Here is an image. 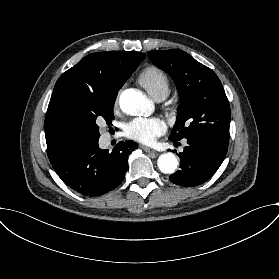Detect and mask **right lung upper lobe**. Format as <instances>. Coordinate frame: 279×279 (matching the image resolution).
I'll return each mask as SVG.
<instances>
[{
    "mask_svg": "<svg viewBox=\"0 0 279 279\" xmlns=\"http://www.w3.org/2000/svg\"><path fill=\"white\" fill-rule=\"evenodd\" d=\"M146 55L140 52L92 53L63 73L57 80L45 118V136L51 164L73 152L54 132L51 115L59 98L74 90L115 89L123 86Z\"/></svg>",
    "mask_w": 279,
    "mask_h": 279,
    "instance_id": "right-lung-upper-lobe-1",
    "label": "right lung upper lobe"
}]
</instances>
